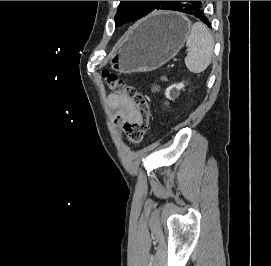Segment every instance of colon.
Masks as SVG:
<instances>
[{
  "label": "colon",
  "instance_id": "obj_1",
  "mask_svg": "<svg viewBox=\"0 0 271 266\" xmlns=\"http://www.w3.org/2000/svg\"><path fill=\"white\" fill-rule=\"evenodd\" d=\"M103 78L108 87L117 95L128 98L137 112V119L123 126V134L132 145L141 143L146 135L151 117L150 105L145 95L133 86L127 85L116 74L105 71Z\"/></svg>",
  "mask_w": 271,
  "mask_h": 266
}]
</instances>
